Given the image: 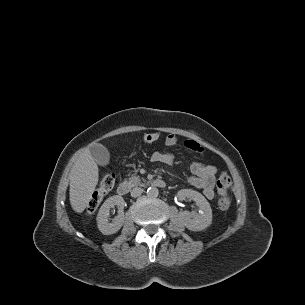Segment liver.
<instances>
[{
  "instance_id": "obj_1",
  "label": "liver",
  "mask_w": 305,
  "mask_h": 305,
  "mask_svg": "<svg viewBox=\"0 0 305 305\" xmlns=\"http://www.w3.org/2000/svg\"><path fill=\"white\" fill-rule=\"evenodd\" d=\"M70 204L77 213H82L89 204L99 180V170L89 148H83L69 173Z\"/></svg>"
}]
</instances>
